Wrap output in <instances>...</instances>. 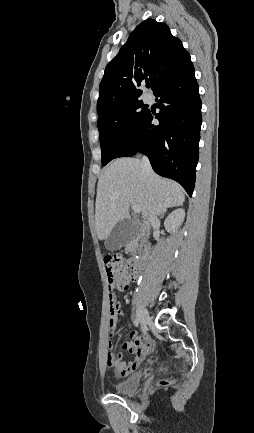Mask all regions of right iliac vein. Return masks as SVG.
I'll return each instance as SVG.
<instances>
[{"mask_svg":"<svg viewBox=\"0 0 254 433\" xmlns=\"http://www.w3.org/2000/svg\"><path fill=\"white\" fill-rule=\"evenodd\" d=\"M138 318L140 320V323L142 325V328L145 329L146 326L149 324L150 322V318L148 315V312L146 311V309L144 307H139L138 309Z\"/></svg>","mask_w":254,"mask_h":433,"instance_id":"obj_1","label":"right iliac vein"}]
</instances>
